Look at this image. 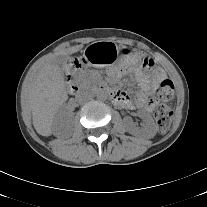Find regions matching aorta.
<instances>
[{"mask_svg": "<svg viewBox=\"0 0 207 207\" xmlns=\"http://www.w3.org/2000/svg\"><path fill=\"white\" fill-rule=\"evenodd\" d=\"M96 98L99 100V101H105L107 100L108 98V94L106 91L104 90H99L97 93H96Z\"/></svg>", "mask_w": 207, "mask_h": 207, "instance_id": "1", "label": "aorta"}]
</instances>
